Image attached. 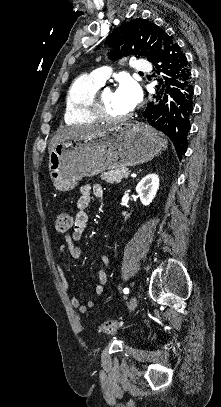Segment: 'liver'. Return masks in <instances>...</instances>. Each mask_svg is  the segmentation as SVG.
Returning a JSON list of instances; mask_svg holds the SVG:
<instances>
[{"label": "liver", "instance_id": "6515ba94", "mask_svg": "<svg viewBox=\"0 0 221 407\" xmlns=\"http://www.w3.org/2000/svg\"><path fill=\"white\" fill-rule=\"evenodd\" d=\"M108 126H99V125H85V126H71L66 127L63 129L57 130L55 135L52 137L50 144H49V154L53 150V148L60 142L81 136H89L94 135L100 131L108 129Z\"/></svg>", "mask_w": 221, "mask_h": 407}]
</instances>
